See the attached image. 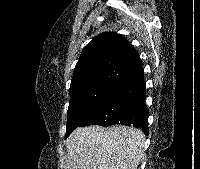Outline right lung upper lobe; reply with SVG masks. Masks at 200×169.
I'll return each instance as SVG.
<instances>
[{
    "mask_svg": "<svg viewBox=\"0 0 200 169\" xmlns=\"http://www.w3.org/2000/svg\"><path fill=\"white\" fill-rule=\"evenodd\" d=\"M143 73L134 47L123 36L105 32L88 43L76 64L70 96L105 81L121 82Z\"/></svg>",
    "mask_w": 200,
    "mask_h": 169,
    "instance_id": "obj_1",
    "label": "right lung upper lobe"
}]
</instances>
